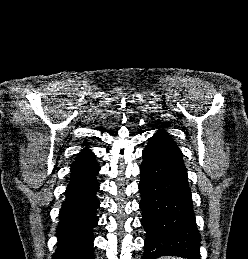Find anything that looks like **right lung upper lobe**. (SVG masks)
<instances>
[{
	"label": "right lung upper lobe",
	"instance_id": "right-lung-upper-lobe-1",
	"mask_svg": "<svg viewBox=\"0 0 248 259\" xmlns=\"http://www.w3.org/2000/svg\"><path fill=\"white\" fill-rule=\"evenodd\" d=\"M91 154H92L91 151L88 150V149H86V150H83L81 153H79L78 158H80V157H86V156H89V155H91Z\"/></svg>",
	"mask_w": 248,
	"mask_h": 259
}]
</instances>
